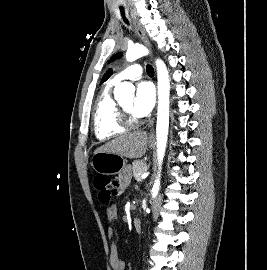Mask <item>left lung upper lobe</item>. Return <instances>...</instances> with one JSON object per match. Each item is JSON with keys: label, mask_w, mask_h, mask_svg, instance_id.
Segmentation results:
<instances>
[{"label": "left lung upper lobe", "mask_w": 267, "mask_h": 270, "mask_svg": "<svg viewBox=\"0 0 267 270\" xmlns=\"http://www.w3.org/2000/svg\"><path fill=\"white\" fill-rule=\"evenodd\" d=\"M121 56H122V53L119 52V53L115 54V55L111 58V60H110L109 62H112V61H114V60H116V59H119V58H121Z\"/></svg>", "instance_id": "5c2ea615"}]
</instances>
